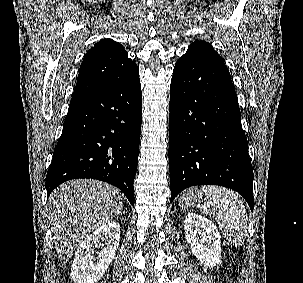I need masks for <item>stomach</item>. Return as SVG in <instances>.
<instances>
[{"label":"stomach","instance_id":"stomach-1","mask_svg":"<svg viewBox=\"0 0 303 283\" xmlns=\"http://www.w3.org/2000/svg\"><path fill=\"white\" fill-rule=\"evenodd\" d=\"M202 194L197 190H189L180 198V206L184 208L193 207L200 202Z\"/></svg>","mask_w":303,"mask_h":283}]
</instances>
